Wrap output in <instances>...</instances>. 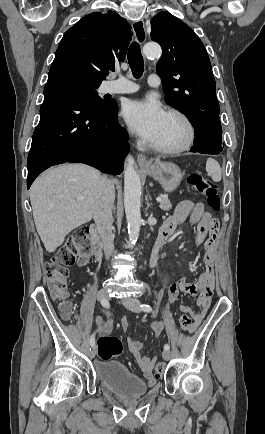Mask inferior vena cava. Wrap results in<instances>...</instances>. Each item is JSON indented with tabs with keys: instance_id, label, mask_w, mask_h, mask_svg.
Returning <instances> with one entry per match:
<instances>
[{
	"instance_id": "1",
	"label": "inferior vena cava",
	"mask_w": 265,
	"mask_h": 434,
	"mask_svg": "<svg viewBox=\"0 0 265 434\" xmlns=\"http://www.w3.org/2000/svg\"><path fill=\"white\" fill-rule=\"evenodd\" d=\"M115 200L114 184L108 178H100L95 200L93 218L101 236V242L106 260L112 256L114 250V236L112 234V208Z\"/></svg>"
}]
</instances>
